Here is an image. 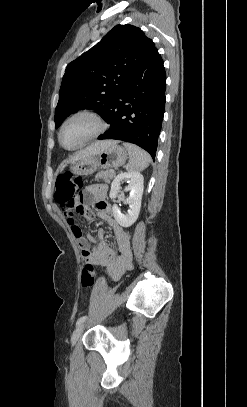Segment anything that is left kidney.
<instances>
[{
  "instance_id": "left-kidney-1",
  "label": "left kidney",
  "mask_w": 247,
  "mask_h": 407,
  "mask_svg": "<svg viewBox=\"0 0 247 407\" xmlns=\"http://www.w3.org/2000/svg\"><path fill=\"white\" fill-rule=\"evenodd\" d=\"M127 180L128 186L127 191H130L129 196L126 198L125 202L129 205V210L127 214H123L116 204L113 205L112 211L113 216L118 224L122 227H130L138 219L141 199L144 189V177L139 172H125L118 174L111 184L110 198L115 199L120 191V184L122 181Z\"/></svg>"
}]
</instances>
